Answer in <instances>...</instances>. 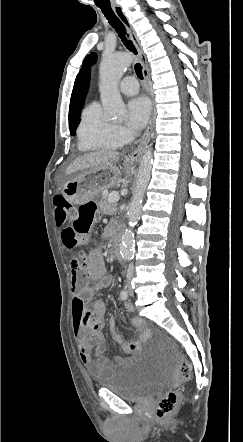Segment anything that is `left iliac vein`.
<instances>
[{
    "label": "left iliac vein",
    "mask_w": 243,
    "mask_h": 442,
    "mask_svg": "<svg viewBox=\"0 0 243 442\" xmlns=\"http://www.w3.org/2000/svg\"><path fill=\"white\" fill-rule=\"evenodd\" d=\"M129 294L131 295V296H133V290H132V288H129Z\"/></svg>",
    "instance_id": "obj_1"
}]
</instances>
